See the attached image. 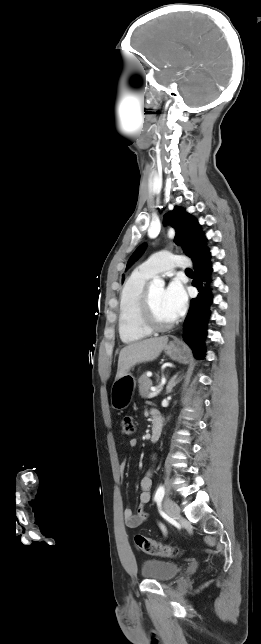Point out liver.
<instances>
[{"label":"liver","mask_w":261,"mask_h":644,"mask_svg":"<svg viewBox=\"0 0 261 644\" xmlns=\"http://www.w3.org/2000/svg\"><path fill=\"white\" fill-rule=\"evenodd\" d=\"M167 342L168 337L162 336L135 342L122 348L119 353L115 380L125 375L132 366L155 360L167 345Z\"/></svg>","instance_id":"1"}]
</instances>
